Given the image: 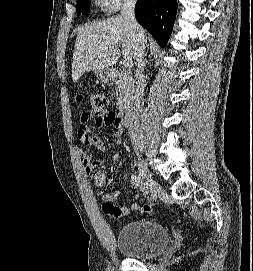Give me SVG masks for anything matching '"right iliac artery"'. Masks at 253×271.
I'll use <instances>...</instances> for the list:
<instances>
[{
	"mask_svg": "<svg viewBox=\"0 0 253 271\" xmlns=\"http://www.w3.org/2000/svg\"><path fill=\"white\" fill-rule=\"evenodd\" d=\"M131 181L135 186H140V177L137 174L131 176Z\"/></svg>",
	"mask_w": 253,
	"mask_h": 271,
	"instance_id": "right-iliac-artery-1",
	"label": "right iliac artery"
}]
</instances>
